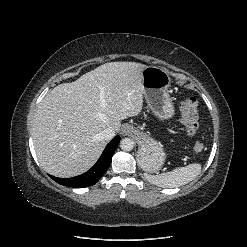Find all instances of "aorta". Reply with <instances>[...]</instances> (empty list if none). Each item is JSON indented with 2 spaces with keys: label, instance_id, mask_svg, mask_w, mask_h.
I'll return each instance as SVG.
<instances>
[{
  "label": "aorta",
  "instance_id": "762f6f07",
  "mask_svg": "<svg viewBox=\"0 0 247 247\" xmlns=\"http://www.w3.org/2000/svg\"><path fill=\"white\" fill-rule=\"evenodd\" d=\"M120 147L124 151H131L134 148V142L130 138H123L120 141Z\"/></svg>",
  "mask_w": 247,
  "mask_h": 247
}]
</instances>
